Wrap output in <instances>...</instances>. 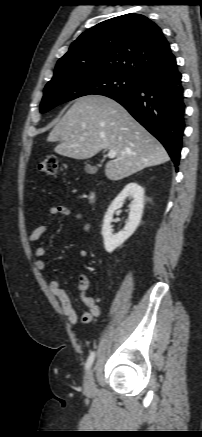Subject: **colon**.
Listing matches in <instances>:
<instances>
[{
  "label": "colon",
  "instance_id": "colon-1",
  "mask_svg": "<svg viewBox=\"0 0 202 437\" xmlns=\"http://www.w3.org/2000/svg\"><path fill=\"white\" fill-rule=\"evenodd\" d=\"M39 170L47 175H54L58 170V159L55 156L45 157L39 164Z\"/></svg>",
  "mask_w": 202,
  "mask_h": 437
}]
</instances>
